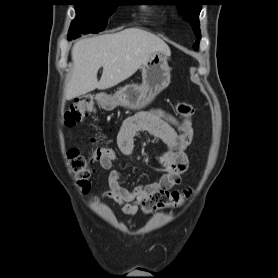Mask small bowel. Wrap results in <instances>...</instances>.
<instances>
[{"label": "small bowel", "instance_id": "small-bowel-1", "mask_svg": "<svg viewBox=\"0 0 278 278\" xmlns=\"http://www.w3.org/2000/svg\"><path fill=\"white\" fill-rule=\"evenodd\" d=\"M183 130V124L173 115L162 110L153 109L134 114L127 118L118 133L117 145L124 155L132 154L136 136L140 132H147L161 139L166 148L157 152L155 159L160 166L161 176L153 183L138 185L134 189H127L120 184V172L114 169L115 158H106L98 161L99 166L109 170L108 186L102 198L115 201L122 206V212L127 216L137 213L141 203L153 192L158 190L169 191L181 182L182 174L188 168L186 152L176 147V140Z\"/></svg>", "mask_w": 278, "mask_h": 278}]
</instances>
